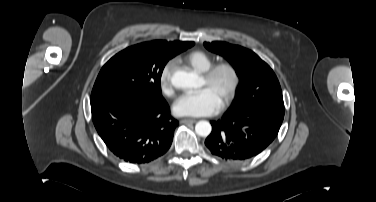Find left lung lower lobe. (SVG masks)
Returning a JSON list of instances; mask_svg holds the SVG:
<instances>
[{"label":"left lung lower lobe","mask_w":376,"mask_h":202,"mask_svg":"<svg viewBox=\"0 0 376 202\" xmlns=\"http://www.w3.org/2000/svg\"><path fill=\"white\" fill-rule=\"evenodd\" d=\"M284 115L264 108L243 113L227 111L212 121V132L205 140L212 154L226 161H242L262 152L276 138Z\"/></svg>","instance_id":"left-lung-lower-lobe-1"}]
</instances>
